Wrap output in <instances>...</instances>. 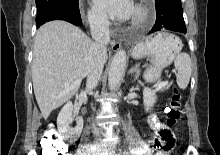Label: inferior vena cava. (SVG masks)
<instances>
[{
	"label": "inferior vena cava",
	"mask_w": 220,
	"mask_h": 155,
	"mask_svg": "<svg viewBox=\"0 0 220 155\" xmlns=\"http://www.w3.org/2000/svg\"><path fill=\"white\" fill-rule=\"evenodd\" d=\"M89 24L94 42L89 50L88 65L85 72L87 76L86 91L94 89L100 80L107 58L106 46L110 42L109 21L105 14H91L89 16ZM92 129L94 133H98V129L94 124Z\"/></svg>",
	"instance_id": "602c4592"
}]
</instances>
